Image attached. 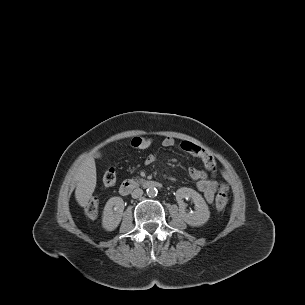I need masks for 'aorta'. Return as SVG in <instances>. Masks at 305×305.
Instances as JSON below:
<instances>
[{
	"label": "aorta",
	"mask_w": 305,
	"mask_h": 305,
	"mask_svg": "<svg viewBox=\"0 0 305 305\" xmlns=\"http://www.w3.org/2000/svg\"><path fill=\"white\" fill-rule=\"evenodd\" d=\"M146 192L149 197H155L157 196L158 190L154 186H149Z\"/></svg>",
	"instance_id": "obj_1"
}]
</instances>
